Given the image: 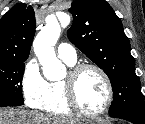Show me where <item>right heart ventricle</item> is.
I'll list each match as a JSON object with an SVG mask.
<instances>
[{
    "mask_svg": "<svg viewBox=\"0 0 145 124\" xmlns=\"http://www.w3.org/2000/svg\"><path fill=\"white\" fill-rule=\"evenodd\" d=\"M65 62L69 66L75 64ZM37 108L52 116L66 117L72 115L73 111L67 103L63 81H47L45 98Z\"/></svg>",
    "mask_w": 145,
    "mask_h": 124,
    "instance_id": "e07e8e85",
    "label": "right heart ventricle"
}]
</instances>
